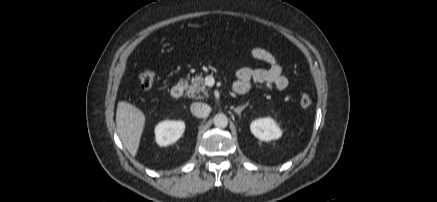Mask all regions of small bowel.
Segmentation results:
<instances>
[{
    "label": "small bowel",
    "instance_id": "c3829d8e",
    "mask_svg": "<svg viewBox=\"0 0 437 202\" xmlns=\"http://www.w3.org/2000/svg\"><path fill=\"white\" fill-rule=\"evenodd\" d=\"M251 56L269 65L268 68L242 67L237 73V80L234 83L235 93L246 94L253 84H257L266 90L283 91L288 86V78L279 63L278 59L269 50L255 47L250 51Z\"/></svg>",
    "mask_w": 437,
    "mask_h": 202
}]
</instances>
